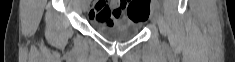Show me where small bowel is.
<instances>
[{
  "instance_id": "1",
  "label": "small bowel",
  "mask_w": 235,
  "mask_h": 62,
  "mask_svg": "<svg viewBox=\"0 0 235 62\" xmlns=\"http://www.w3.org/2000/svg\"><path fill=\"white\" fill-rule=\"evenodd\" d=\"M121 2L119 0H112L109 7L101 9L99 6H94L89 12L91 21L100 23L103 26H117L122 24L121 21ZM124 25H134L126 17L124 18Z\"/></svg>"
}]
</instances>
